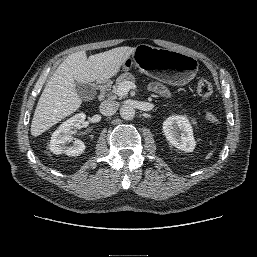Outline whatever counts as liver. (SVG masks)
Wrapping results in <instances>:
<instances>
[{
	"label": "liver",
	"mask_w": 257,
	"mask_h": 257,
	"mask_svg": "<svg viewBox=\"0 0 257 257\" xmlns=\"http://www.w3.org/2000/svg\"><path fill=\"white\" fill-rule=\"evenodd\" d=\"M134 51V47L125 46L88 58L85 51L69 55L56 69L39 98L31 135H41L80 107L82 99L77 94L76 82L91 84L112 78Z\"/></svg>",
	"instance_id": "1"
}]
</instances>
